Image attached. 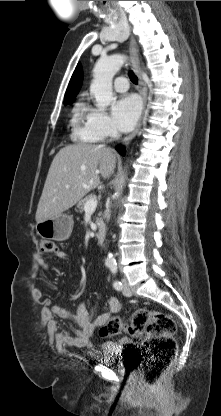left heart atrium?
Masks as SVG:
<instances>
[{
    "instance_id": "obj_1",
    "label": "left heart atrium",
    "mask_w": 221,
    "mask_h": 416,
    "mask_svg": "<svg viewBox=\"0 0 221 416\" xmlns=\"http://www.w3.org/2000/svg\"><path fill=\"white\" fill-rule=\"evenodd\" d=\"M141 112L139 98L133 94H126L115 101L112 107L113 117L119 130L128 132L135 126Z\"/></svg>"
}]
</instances>
